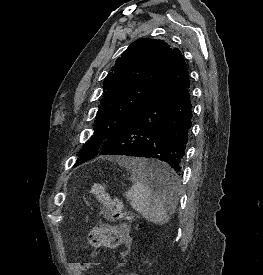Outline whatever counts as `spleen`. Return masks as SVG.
Returning a JSON list of instances; mask_svg holds the SVG:
<instances>
[{
  "label": "spleen",
  "mask_w": 263,
  "mask_h": 275,
  "mask_svg": "<svg viewBox=\"0 0 263 275\" xmlns=\"http://www.w3.org/2000/svg\"><path fill=\"white\" fill-rule=\"evenodd\" d=\"M121 166L129 170L132 174L133 186L127 192L126 197L134 210L140 213L147 221L163 225L168 222L167 198L163 194L154 192L147 184V178L144 174L146 169L163 170L170 172V168L161 162L148 161L141 158H126L120 162ZM179 180L175 177V183L172 191L168 194L169 201L175 202L178 191Z\"/></svg>",
  "instance_id": "spleen-1"
}]
</instances>
